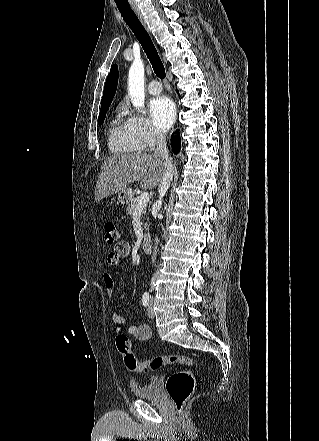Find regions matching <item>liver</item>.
Here are the masks:
<instances>
[{"label": "liver", "instance_id": "liver-1", "mask_svg": "<svg viewBox=\"0 0 319 441\" xmlns=\"http://www.w3.org/2000/svg\"><path fill=\"white\" fill-rule=\"evenodd\" d=\"M165 162L149 153L122 154L108 157L96 183L95 201L116 194L135 181L141 188L152 189L160 184Z\"/></svg>", "mask_w": 319, "mask_h": 441}]
</instances>
